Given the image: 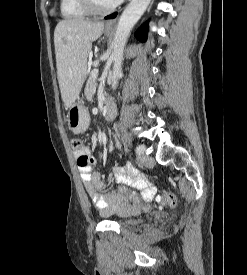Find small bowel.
Returning <instances> with one entry per match:
<instances>
[{
  "mask_svg": "<svg viewBox=\"0 0 247 275\" xmlns=\"http://www.w3.org/2000/svg\"><path fill=\"white\" fill-rule=\"evenodd\" d=\"M82 154L86 157V161L82 162L80 160L81 154L77 153V165L88 195L95 207L106 215L136 212L138 210L136 204L120 196L117 191L107 188L101 175L94 171L96 161L90 155L89 149L84 148ZM113 177L120 186L140 190L144 200L150 202L154 199L156 194L155 187L151 186L132 165L115 167L113 169Z\"/></svg>",
  "mask_w": 247,
  "mask_h": 275,
  "instance_id": "1",
  "label": "small bowel"
}]
</instances>
